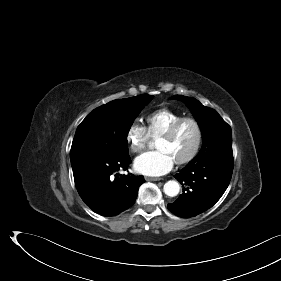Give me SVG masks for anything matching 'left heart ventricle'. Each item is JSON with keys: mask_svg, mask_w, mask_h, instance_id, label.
<instances>
[{"mask_svg": "<svg viewBox=\"0 0 281 281\" xmlns=\"http://www.w3.org/2000/svg\"><path fill=\"white\" fill-rule=\"evenodd\" d=\"M197 139L195 126L183 123L171 139H159L157 149L166 151L175 161L186 157L194 148Z\"/></svg>", "mask_w": 281, "mask_h": 281, "instance_id": "1", "label": "left heart ventricle"}]
</instances>
